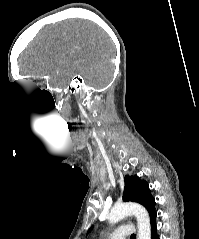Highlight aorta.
Listing matches in <instances>:
<instances>
[{
  "label": "aorta",
  "instance_id": "aorta-1",
  "mask_svg": "<svg viewBox=\"0 0 199 239\" xmlns=\"http://www.w3.org/2000/svg\"><path fill=\"white\" fill-rule=\"evenodd\" d=\"M128 215H134L137 219V239H151L150 218L147 210L136 203L115 204L108 216L110 224H116Z\"/></svg>",
  "mask_w": 199,
  "mask_h": 239
}]
</instances>
